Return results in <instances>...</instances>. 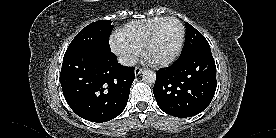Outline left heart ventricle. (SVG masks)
I'll return each instance as SVG.
<instances>
[{"label":"left heart ventricle","mask_w":276,"mask_h":138,"mask_svg":"<svg viewBox=\"0 0 276 138\" xmlns=\"http://www.w3.org/2000/svg\"><path fill=\"white\" fill-rule=\"evenodd\" d=\"M181 29L177 22L167 21L157 33L156 39L148 51L151 61H160L170 57L179 43Z\"/></svg>","instance_id":"b2bd125f"}]
</instances>
